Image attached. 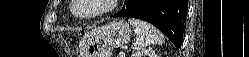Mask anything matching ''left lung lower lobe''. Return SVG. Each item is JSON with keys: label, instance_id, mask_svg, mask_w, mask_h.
Listing matches in <instances>:
<instances>
[{"label": "left lung lower lobe", "instance_id": "left-lung-lower-lobe-1", "mask_svg": "<svg viewBox=\"0 0 249 57\" xmlns=\"http://www.w3.org/2000/svg\"><path fill=\"white\" fill-rule=\"evenodd\" d=\"M187 9L186 0H125L123 8L113 17H133L147 21L175 46H180Z\"/></svg>", "mask_w": 249, "mask_h": 57}]
</instances>
